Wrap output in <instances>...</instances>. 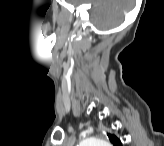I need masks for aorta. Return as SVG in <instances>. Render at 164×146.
Instances as JSON below:
<instances>
[{
    "label": "aorta",
    "instance_id": "1",
    "mask_svg": "<svg viewBox=\"0 0 164 146\" xmlns=\"http://www.w3.org/2000/svg\"><path fill=\"white\" fill-rule=\"evenodd\" d=\"M81 146H109V143L106 140L91 137L83 140Z\"/></svg>",
    "mask_w": 164,
    "mask_h": 146
}]
</instances>
